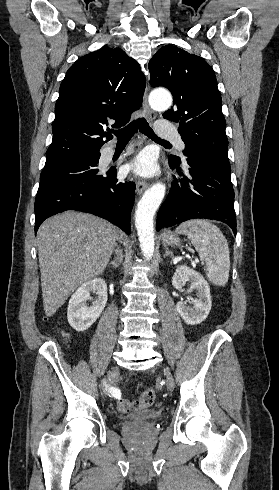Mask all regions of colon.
<instances>
[{
	"label": "colon",
	"mask_w": 279,
	"mask_h": 490,
	"mask_svg": "<svg viewBox=\"0 0 279 490\" xmlns=\"http://www.w3.org/2000/svg\"><path fill=\"white\" fill-rule=\"evenodd\" d=\"M155 400V391L147 389L143 392L139 399H120L117 403L116 409L119 413H128L132 410H141L143 408L150 407Z\"/></svg>",
	"instance_id": "obj_1"
}]
</instances>
